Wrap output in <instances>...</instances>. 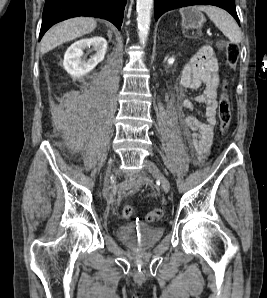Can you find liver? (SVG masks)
Wrapping results in <instances>:
<instances>
[{"label":"liver","mask_w":267,"mask_h":298,"mask_svg":"<svg viewBox=\"0 0 267 298\" xmlns=\"http://www.w3.org/2000/svg\"><path fill=\"white\" fill-rule=\"evenodd\" d=\"M97 26L92 18L78 17L68 19L49 29L41 41V53L45 54L68 41L89 34Z\"/></svg>","instance_id":"1"}]
</instances>
